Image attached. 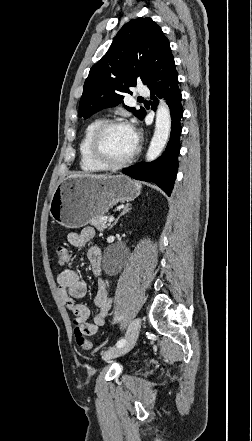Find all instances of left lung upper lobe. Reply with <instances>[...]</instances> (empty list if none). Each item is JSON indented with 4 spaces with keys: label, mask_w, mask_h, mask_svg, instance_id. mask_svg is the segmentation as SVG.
Segmentation results:
<instances>
[{
    "label": "left lung upper lobe",
    "mask_w": 252,
    "mask_h": 441,
    "mask_svg": "<svg viewBox=\"0 0 252 441\" xmlns=\"http://www.w3.org/2000/svg\"><path fill=\"white\" fill-rule=\"evenodd\" d=\"M169 44L151 18L132 19L116 35L111 48L92 66L84 83L79 116L85 119L97 111L123 103L129 87L137 80L148 85L154 76L163 48ZM124 107L142 119L145 110Z\"/></svg>",
    "instance_id": "left-lung-upper-lobe-1"
}]
</instances>
